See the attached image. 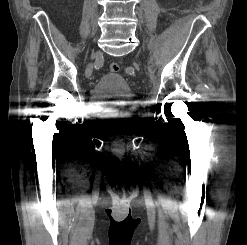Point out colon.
Returning <instances> with one entry per match:
<instances>
[{
	"label": "colon",
	"mask_w": 247,
	"mask_h": 245,
	"mask_svg": "<svg viewBox=\"0 0 247 245\" xmlns=\"http://www.w3.org/2000/svg\"><path fill=\"white\" fill-rule=\"evenodd\" d=\"M109 69H110L111 72L116 73V72L119 71V65L117 63H115V62L111 63L109 65Z\"/></svg>",
	"instance_id": "obj_1"
}]
</instances>
